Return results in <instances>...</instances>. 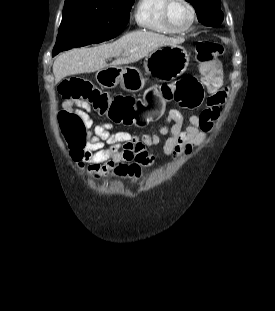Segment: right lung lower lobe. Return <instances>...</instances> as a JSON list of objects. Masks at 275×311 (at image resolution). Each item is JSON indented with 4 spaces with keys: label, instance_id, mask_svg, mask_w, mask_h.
I'll use <instances>...</instances> for the list:
<instances>
[{
    "label": "right lung lower lobe",
    "instance_id": "obj_1",
    "mask_svg": "<svg viewBox=\"0 0 275 311\" xmlns=\"http://www.w3.org/2000/svg\"><path fill=\"white\" fill-rule=\"evenodd\" d=\"M126 24H120L117 28H116V32H114L113 34L111 35H107L106 37L102 38L100 40V42L102 41H106V40H109V39H112L114 37H116L117 35H119L121 33V31L123 30V27L125 26ZM99 42V43H100Z\"/></svg>",
    "mask_w": 275,
    "mask_h": 311
}]
</instances>
